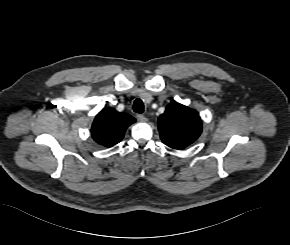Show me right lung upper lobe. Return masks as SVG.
<instances>
[{"label":"right lung upper lobe","mask_w":290,"mask_h":245,"mask_svg":"<svg viewBox=\"0 0 290 245\" xmlns=\"http://www.w3.org/2000/svg\"><path fill=\"white\" fill-rule=\"evenodd\" d=\"M134 122L135 119L129 114L104 108L96 115L91 134L98 144L111 147L122 140L127 127Z\"/></svg>","instance_id":"cb5924a9"}]
</instances>
